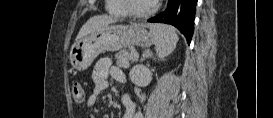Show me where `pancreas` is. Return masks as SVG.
Returning a JSON list of instances; mask_svg holds the SVG:
<instances>
[{
	"instance_id": "obj_1",
	"label": "pancreas",
	"mask_w": 273,
	"mask_h": 118,
	"mask_svg": "<svg viewBox=\"0 0 273 118\" xmlns=\"http://www.w3.org/2000/svg\"><path fill=\"white\" fill-rule=\"evenodd\" d=\"M116 64L124 69L129 68V61L132 60V54L128 51H120L115 54Z\"/></svg>"
}]
</instances>
